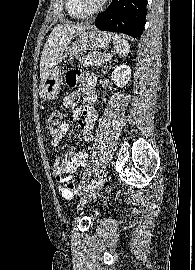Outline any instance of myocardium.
Here are the masks:
<instances>
[{
  "mask_svg": "<svg viewBox=\"0 0 195 270\" xmlns=\"http://www.w3.org/2000/svg\"><path fill=\"white\" fill-rule=\"evenodd\" d=\"M107 0H81L82 4L89 8L93 13L98 11Z\"/></svg>",
  "mask_w": 195,
  "mask_h": 270,
  "instance_id": "myocardium-1",
  "label": "myocardium"
}]
</instances>
